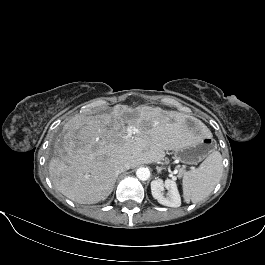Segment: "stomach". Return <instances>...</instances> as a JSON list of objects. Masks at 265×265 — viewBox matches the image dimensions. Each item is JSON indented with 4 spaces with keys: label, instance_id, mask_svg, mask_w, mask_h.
I'll return each instance as SVG.
<instances>
[{
    "label": "stomach",
    "instance_id": "stomach-1",
    "mask_svg": "<svg viewBox=\"0 0 265 265\" xmlns=\"http://www.w3.org/2000/svg\"><path fill=\"white\" fill-rule=\"evenodd\" d=\"M213 149L210 138L201 136L198 140L190 141L182 148L175 150V158L185 164H196L202 161Z\"/></svg>",
    "mask_w": 265,
    "mask_h": 265
}]
</instances>
